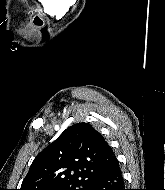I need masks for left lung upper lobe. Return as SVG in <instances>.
<instances>
[{"label": "left lung upper lobe", "instance_id": "obj_1", "mask_svg": "<svg viewBox=\"0 0 165 190\" xmlns=\"http://www.w3.org/2000/svg\"><path fill=\"white\" fill-rule=\"evenodd\" d=\"M115 159L91 125L74 124L35 157L20 190H90Z\"/></svg>", "mask_w": 165, "mask_h": 190}]
</instances>
